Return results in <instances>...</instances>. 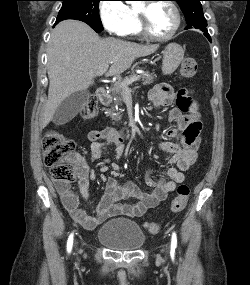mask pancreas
Wrapping results in <instances>:
<instances>
[{"mask_svg":"<svg viewBox=\"0 0 250 285\" xmlns=\"http://www.w3.org/2000/svg\"><path fill=\"white\" fill-rule=\"evenodd\" d=\"M132 77H138L144 85H149L152 84L155 81V75L152 73H149L148 71L141 74L137 75L135 72H132L129 76H126L123 80L118 81L113 88L110 90L114 104L121 105L123 101V94H124V88L121 86V83L126 82ZM109 115L116 121L121 119L120 113H114V108L112 107L111 109L108 110Z\"/></svg>","mask_w":250,"mask_h":285,"instance_id":"cf45deb5","label":"pancreas"}]
</instances>
